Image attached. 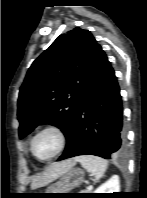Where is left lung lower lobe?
Returning a JSON list of instances; mask_svg holds the SVG:
<instances>
[{
    "instance_id": "1",
    "label": "left lung lower lobe",
    "mask_w": 147,
    "mask_h": 198,
    "mask_svg": "<svg viewBox=\"0 0 147 198\" xmlns=\"http://www.w3.org/2000/svg\"><path fill=\"white\" fill-rule=\"evenodd\" d=\"M66 139L65 151L58 160L78 155L110 159L125 152L120 89L114 70L100 45L96 49L91 74Z\"/></svg>"
}]
</instances>
